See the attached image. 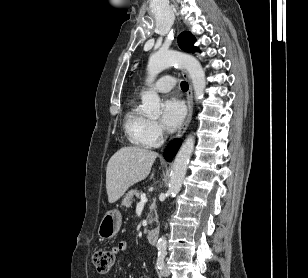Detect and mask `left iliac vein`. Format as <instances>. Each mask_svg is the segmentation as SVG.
Here are the masks:
<instances>
[{
  "label": "left iliac vein",
  "instance_id": "left-iliac-vein-1",
  "mask_svg": "<svg viewBox=\"0 0 308 278\" xmlns=\"http://www.w3.org/2000/svg\"><path fill=\"white\" fill-rule=\"evenodd\" d=\"M160 274L164 277H168L170 275V270L167 265L163 266V268L160 270Z\"/></svg>",
  "mask_w": 308,
  "mask_h": 278
}]
</instances>
